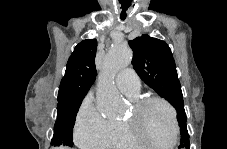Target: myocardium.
I'll return each mask as SVG.
<instances>
[{"label": "myocardium", "mask_w": 227, "mask_h": 149, "mask_svg": "<svg viewBox=\"0 0 227 149\" xmlns=\"http://www.w3.org/2000/svg\"><path fill=\"white\" fill-rule=\"evenodd\" d=\"M153 103L164 105L170 112L173 121V137L170 143H155L149 140L138 128V116L145 107ZM130 135L143 146L156 148L172 147L176 145L179 136V122L175 108L167 100L160 97H146L133 103V116L124 120Z\"/></svg>", "instance_id": "obj_1"}]
</instances>
